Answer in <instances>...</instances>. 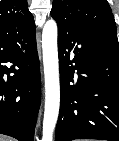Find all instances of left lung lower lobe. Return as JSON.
<instances>
[{
	"label": "left lung lower lobe",
	"mask_w": 119,
	"mask_h": 141,
	"mask_svg": "<svg viewBox=\"0 0 119 141\" xmlns=\"http://www.w3.org/2000/svg\"><path fill=\"white\" fill-rule=\"evenodd\" d=\"M57 25L61 102L55 141H119V43Z\"/></svg>",
	"instance_id": "0a47b994"
}]
</instances>
